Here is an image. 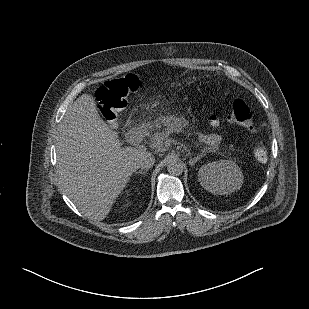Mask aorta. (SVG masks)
<instances>
[{"instance_id":"1","label":"aorta","mask_w":309,"mask_h":309,"mask_svg":"<svg viewBox=\"0 0 309 309\" xmlns=\"http://www.w3.org/2000/svg\"><path fill=\"white\" fill-rule=\"evenodd\" d=\"M184 170L183 162L177 156H171L167 160V171L171 175H181Z\"/></svg>"}]
</instances>
